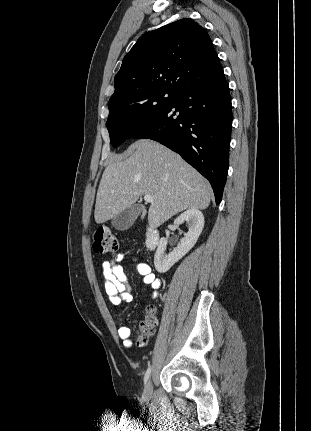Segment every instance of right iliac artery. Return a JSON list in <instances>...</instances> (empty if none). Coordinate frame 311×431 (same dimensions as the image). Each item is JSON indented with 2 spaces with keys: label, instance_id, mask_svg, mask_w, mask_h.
Masks as SVG:
<instances>
[{
  "label": "right iliac artery",
  "instance_id": "obj_1",
  "mask_svg": "<svg viewBox=\"0 0 311 431\" xmlns=\"http://www.w3.org/2000/svg\"><path fill=\"white\" fill-rule=\"evenodd\" d=\"M150 374H151V367L149 366V368L147 369L145 376H144V383L145 384H147L149 377H150Z\"/></svg>",
  "mask_w": 311,
  "mask_h": 431
}]
</instances>
